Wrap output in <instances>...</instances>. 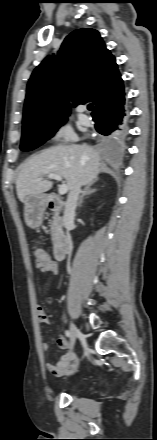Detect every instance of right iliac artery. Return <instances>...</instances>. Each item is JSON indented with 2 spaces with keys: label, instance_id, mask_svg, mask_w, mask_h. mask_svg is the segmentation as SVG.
Masks as SVG:
<instances>
[{
  "label": "right iliac artery",
  "instance_id": "obj_1",
  "mask_svg": "<svg viewBox=\"0 0 157 440\" xmlns=\"http://www.w3.org/2000/svg\"><path fill=\"white\" fill-rule=\"evenodd\" d=\"M66 336L69 338L71 336V332L69 330L65 331Z\"/></svg>",
  "mask_w": 157,
  "mask_h": 440
}]
</instances>
